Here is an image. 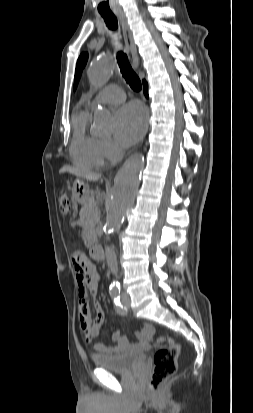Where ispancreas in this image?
<instances>
[{
  "instance_id": "cf45deb5",
  "label": "pancreas",
  "mask_w": 253,
  "mask_h": 413,
  "mask_svg": "<svg viewBox=\"0 0 253 413\" xmlns=\"http://www.w3.org/2000/svg\"><path fill=\"white\" fill-rule=\"evenodd\" d=\"M100 219V211L95 204V198L89 197L80 214V225L83 228V240L86 247H91L97 241L95 225Z\"/></svg>"
}]
</instances>
